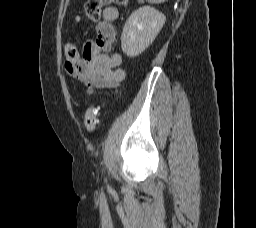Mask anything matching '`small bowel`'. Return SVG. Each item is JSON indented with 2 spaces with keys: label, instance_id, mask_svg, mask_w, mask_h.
<instances>
[{
  "label": "small bowel",
  "instance_id": "small-bowel-1",
  "mask_svg": "<svg viewBox=\"0 0 256 228\" xmlns=\"http://www.w3.org/2000/svg\"><path fill=\"white\" fill-rule=\"evenodd\" d=\"M117 18L115 7L105 8L103 19L96 26V38L86 40L76 62L66 60L67 71L87 87L88 95L99 89L115 88L125 79V71L120 67L122 56L110 53L116 39L114 23Z\"/></svg>",
  "mask_w": 256,
  "mask_h": 228
}]
</instances>
